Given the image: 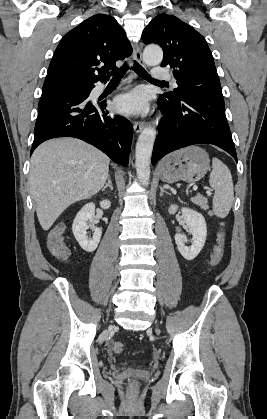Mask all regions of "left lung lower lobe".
Listing matches in <instances>:
<instances>
[{
    "label": "left lung lower lobe",
    "mask_w": 267,
    "mask_h": 419,
    "mask_svg": "<svg viewBox=\"0 0 267 419\" xmlns=\"http://www.w3.org/2000/svg\"><path fill=\"white\" fill-rule=\"evenodd\" d=\"M157 103L164 117L158 125L152 164L174 150L193 144L216 145L237 161L222 93H198L179 102L159 98Z\"/></svg>",
    "instance_id": "1"
}]
</instances>
